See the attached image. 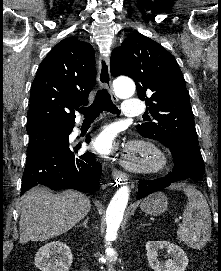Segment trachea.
<instances>
[{
	"label": "trachea",
	"mask_w": 221,
	"mask_h": 271,
	"mask_svg": "<svg viewBox=\"0 0 221 271\" xmlns=\"http://www.w3.org/2000/svg\"><path fill=\"white\" fill-rule=\"evenodd\" d=\"M77 111L84 115V121H94L103 111L120 115V110L114 105L110 94L105 88L99 90L90 106L78 108Z\"/></svg>",
	"instance_id": "trachea-1"
}]
</instances>
